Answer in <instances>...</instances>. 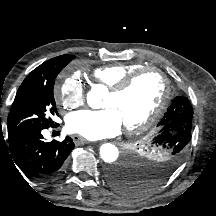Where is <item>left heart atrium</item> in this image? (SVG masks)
I'll use <instances>...</instances> for the list:
<instances>
[{"label":"left heart atrium","mask_w":216,"mask_h":216,"mask_svg":"<svg viewBox=\"0 0 216 216\" xmlns=\"http://www.w3.org/2000/svg\"><path fill=\"white\" fill-rule=\"evenodd\" d=\"M122 122L111 108L101 110H80L66 118V130L89 140H98L117 135Z\"/></svg>","instance_id":"obj_1"}]
</instances>
